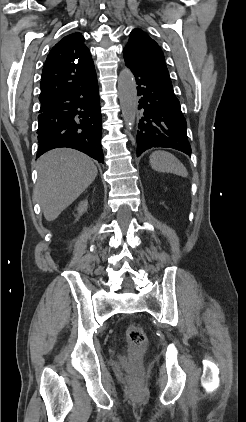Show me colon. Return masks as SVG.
<instances>
[{"label":"colon","instance_id":"obj_1","mask_svg":"<svg viewBox=\"0 0 246 422\" xmlns=\"http://www.w3.org/2000/svg\"><path fill=\"white\" fill-rule=\"evenodd\" d=\"M128 351L134 361L140 359L147 346V336L139 325L131 324L126 329Z\"/></svg>","mask_w":246,"mask_h":422}]
</instances>
